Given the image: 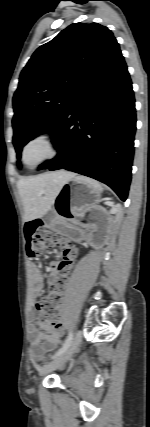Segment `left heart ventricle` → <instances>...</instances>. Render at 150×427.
Masks as SVG:
<instances>
[{
  "mask_svg": "<svg viewBox=\"0 0 150 427\" xmlns=\"http://www.w3.org/2000/svg\"><path fill=\"white\" fill-rule=\"evenodd\" d=\"M48 147L44 143H36L26 152V162L31 165L48 154Z\"/></svg>",
  "mask_w": 150,
  "mask_h": 427,
  "instance_id": "1",
  "label": "left heart ventricle"
}]
</instances>
